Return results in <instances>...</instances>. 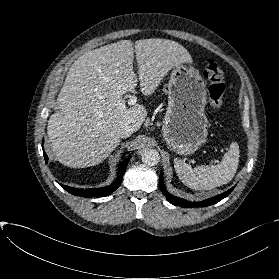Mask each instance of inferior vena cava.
<instances>
[{
	"instance_id": "1",
	"label": "inferior vena cava",
	"mask_w": 279,
	"mask_h": 279,
	"mask_svg": "<svg viewBox=\"0 0 279 279\" xmlns=\"http://www.w3.org/2000/svg\"><path fill=\"white\" fill-rule=\"evenodd\" d=\"M133 128L131 126H126L122 131H121V138H127L133 133Z\"/></svg>"
}]
</instances>
